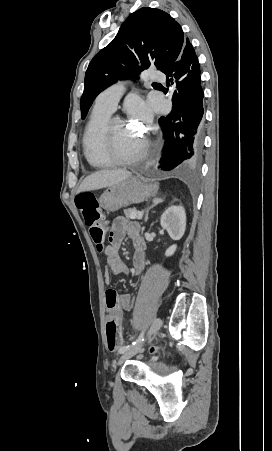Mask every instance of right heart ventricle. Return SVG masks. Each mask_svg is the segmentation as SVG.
<instances>
[{"label":"right heart ventricle","instance_id":"obj_1","mask_svg":"<svg viewBox=\"0 0 272 451\" xmlns=\"http://www.w3.org/2000/svg\"><path fill=\"white\" fill-rule=\"evenodd\" d=\"M127 99L125 104H131ZM111 110L99 107L95 104L89 123L84 134V150L88 163L96 168L104 167L110 163L109 152L104 142L100 140V132L104 123L110 117Z\"/></svg>","mask_w":272,"mask_h":451}]
</instances>
